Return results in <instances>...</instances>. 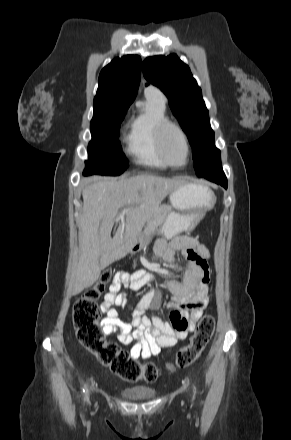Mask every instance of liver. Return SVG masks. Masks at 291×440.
I'll return each mask as SVG.
<instances>
[{
  "instance_id": "6515ba94",
  "label": "liver",
  "mask_w": 291,
  "mask_h": 440,
  "mask_svg": "<svg viewBox=\"0 0 291 440\" xmlns=\"http://www.w3.org/2000/svg\"><path fill=\"white\" fill-rule=\"evenodd\" d=\"M182 183L180 179L141 174L118 181L98 180L83 189L74 294L92 286L103 269L127 255L160 203ZM122 207L128 208L124 218L119 215ZM120 220L112 238L113 225Z\"/></svg>"
}]
</instances>
